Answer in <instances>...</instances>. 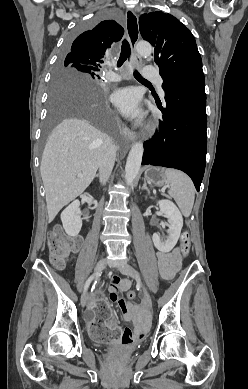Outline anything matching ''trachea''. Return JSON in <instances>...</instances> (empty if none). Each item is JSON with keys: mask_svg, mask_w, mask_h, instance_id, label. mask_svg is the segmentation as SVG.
Segmentation results:
<instances>
[{"mask_svg": "<svg viewBox=\"0 0 248 389\" xmlns=\"http://www.w3.org/2000/svg\"><path fill=\"white\" fill-rule=\"evenodd\" d=\"M130 55H131L130 45H129L127 40H123L122 46H121L120 57H119L118 62H117V67H121L123 65V63L127 60V58H130ZM134 77L137 80L149 82L146 79H144L137 70L134 71Z\"/></svg>", "mask_w": 248, "mask_h": 389, "instance_id": "3493384b", "label": "trachea"}]
</instances>
